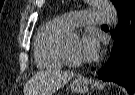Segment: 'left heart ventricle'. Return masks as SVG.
<instances>
[{
  "mask_svg": "<svg viewBox=\"0 0 135 95\" xmlns=\"http://www.w3.org/2000/svg\"><path fill=\"white\" fill-rule=\"evenodd\" d=\"M78 42L79 38L77 36H71L67 38V49L68 53L71 58L77 61H81L78 53H77V48H78Z\"/></svg>",
  "mask_w": 135,
  "mask_h": 95,
  "instance_id": "obj_1",
  "label": "left heart ventricle"
}]
</instances>
